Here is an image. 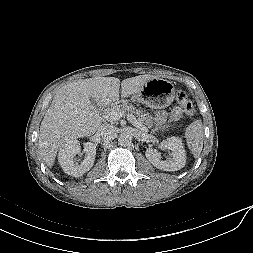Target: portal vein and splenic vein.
<instances>
[{
    "label": "portal vein and splenic vein",
    "mask_w": 253,
    "mask_h": 253,
    "mask_svg": "<svg viewBox=\"0 0 253 253\" xmlns=\"http://www.w3.org/2000/svg\"><path fill=\"white\" fill-rule=\"evenodd\" d=\"M123 115L119 112H116V111H110L108 112L106 115H105V118L108 120V121H117L119 120ZM126 118L127 120L132 123V125H134L135 127L139 128L140 130H142L143 132H148V129L147 127H145L144 125H142L141 123H139L137 121V119L135 118L134 115L132 114H127L126 115Z\"/></svg>",
    "instance_id": "obj_1"
}]
</instances>
